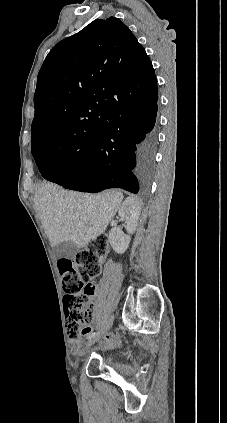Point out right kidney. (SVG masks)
<instances>
[{
  "label": "right kidney",
  "mask_w": 227,
  "mask_h": 423,
  "mask_svg": "<svg viewBox=\"0 0 227 423\" xmlns=\"http://www.w3.org/2000/svg\"><path fill=\"white\" fill-rule=\"evenodd\" d=\"M120 217L126 221L128 235H125L121 227H112L109 231L108 239L116 253H125L131 239V233H135L138 225L141 206L135 198H126L118 211Z\"/></svg>",
  "instance_id": "ca27d5eb"
}]
</instances>
